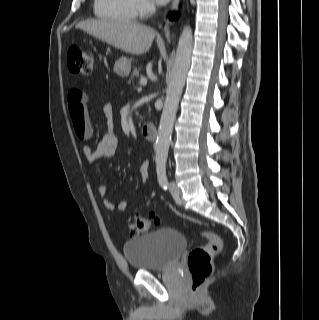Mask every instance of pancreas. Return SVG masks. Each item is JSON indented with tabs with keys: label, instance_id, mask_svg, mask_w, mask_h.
<instances>
[{
	"label": "pancreas",
	"instance_id": "1",
	"mask_svg": "<svg viewBox=\"0 0 319 320\" xmlns=\"http://www.w3.org/2000/svg\"><path fill=\"white\" fill-rule=\"evenodd\" d=\"M139 76V70L137 68H134L131 74V78L129 79V82H131L135 77Z\"/></svg>",
	"mask_w": 319,
	"mask_h": 320
}]
</instances>
